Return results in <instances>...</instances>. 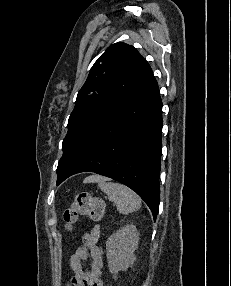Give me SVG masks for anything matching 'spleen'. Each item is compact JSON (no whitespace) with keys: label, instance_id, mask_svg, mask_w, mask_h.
<instances>
[{"label":"spleen","instance_id":"3e777b00","mask_svg":"<svg viewBox=\"0 0 231 286\" xmlns=\"http://www.w3.org/2000/svg\"><path fill=\"white\" fill-rule=\"evenodd\" d=\"M98 186L108 196V199L116 205L119 213L128 214L140 209V197L125 185L110 182L103 178L98 180Z\"/></svg>","mask_w":231,"mask_h":286}]
</instances>
